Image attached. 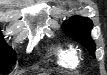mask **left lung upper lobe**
<instances>
[{"label":"left lung upper lobe","instance_id":"1","mask_svg":"<svg viewBox=\"0 0 107 75\" xmlns=\"http://www.w3.org/2000/svg\"><path fill=\"white\" fill-rule=\"evenodd\" d=\"M92 21L88 18L74 16L63 25L64 32L88 49L95 56V43L90 37Z\"/></svg>","mask_w":107,"mask_h":75}]
</instances>
